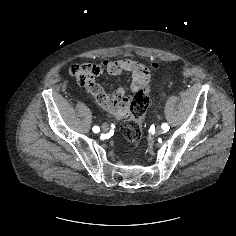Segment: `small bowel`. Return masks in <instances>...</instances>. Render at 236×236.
<instances>
[{
    "label": "small bowel",
    "mask_w": 236,
    "mask_h": 236,
    "mask_svg": "<svg viewBox=\"0 0 236 236\" xmlns=\"http://www.w3.org/2000/svg\"><path fill=\"white\" fill-rule=\"evenodd\" d=\"M124 72L129 85L111 90L106 94L99 86L96 76L103 74L118 76ZM68 75L87 95H94L99 104L118 118H125L131 110L134 94L150 85L151 73L142 63L132 59H104L99 64H94L88 59L73 62L68 67Z\"/></svg>",
    "instance_id": "obj_1"
}]
</instances>
